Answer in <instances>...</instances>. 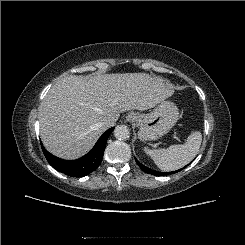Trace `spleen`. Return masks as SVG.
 Segmentation results:
<instances>
[{
    "mask_svg": "<svg viewBox=\"0 0 245 245\" xmlns=\"http://www.w3.org/2000/svg\"><path fill=\"white\" fill-rule=\"evenodd\" d=\"M201 142V133L195 131L188 136L184 144L154 150L145 148L144 151L152 158L159 169L173 171L184 167L195 158L199 152Z\"/></svg>",
    "mask_w": 245,
    "mask_h": 245,
    "instance_id": "1",
    "label": "spleen"
}]
</instances>
